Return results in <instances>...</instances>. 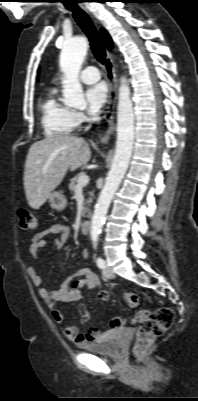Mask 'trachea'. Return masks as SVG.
Masks as SVG:
<instances>
[{
	"label": "trachea",
	"instance_id": "trachea-1",
	"mask_svg": "<svg viewBox=\"0 0 198 401\" xmlns=\"http://www.w3.org/2000/svg\"><path fill=\"white\" fill-rule=\"evenodd\" d=\"M73 1L74 0H67L65 2L66 8L73 12V17L77 24L88 37L94 57L101 64H105L106 53L100 35L95 29L89 16L80 7H78L76 4H73Z\"/></svg>",
	"mask_w": 198,
	"mask_h": 401
}]
</instances>
